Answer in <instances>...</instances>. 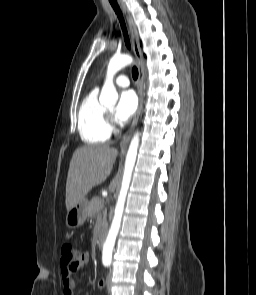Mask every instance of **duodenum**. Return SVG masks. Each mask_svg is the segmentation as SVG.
<instances>
[{
  "label": "duodenum",
  "instance_id": "duodenum-1",
  "mask_svg": "<svg viewBox=\"0 0 256 295\" xmlns=\"http://www.w3.org/2000/svg\"><path fill=\"white\" fill-rule=\"evenodd\" d=\"M105 238H106V235H105V232L103 231L100 233V235L98 237L97 246H98L99 250L103 249Z\"/></svg>",
  "mask_w": 256,
  "mask_h": 295
}]
</instances>
